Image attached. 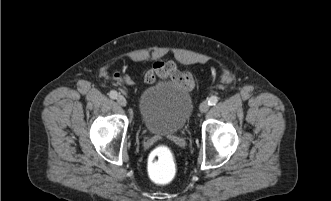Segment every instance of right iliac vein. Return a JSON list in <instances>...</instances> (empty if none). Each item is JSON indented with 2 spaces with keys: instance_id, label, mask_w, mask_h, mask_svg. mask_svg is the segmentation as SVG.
<instances>
[{
  "instance_id": "63e3f726",
  "label": "right iliac vein",
  "mask_w": 331,
  "mask_h": 201,
  "mask_svg": "<svg viewBox=\"0 0 331 201\" xmlns=\"http://www.w3.org/2000/svg\"><path fill=\"white\" fill-rule=\"evenodd\" d=\"M117 103H118L120 106H126L127 101H126V99H125L124 96L119 95V96L117 97Z\"/></svg>"
}]
</instances>
